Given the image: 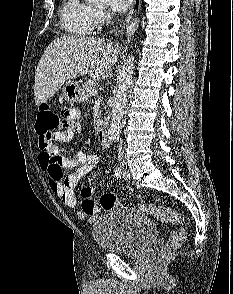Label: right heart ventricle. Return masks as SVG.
Instances as JSON below:
<instances>
[{
  "instance_id": "right-heart-ventricle-1",
  "label": "right heart ventricle",
  "mask_w": 233,
  "mask_h": 294,
  "mask_svg": "<svg viewBox=\"0 0 233 294\" xmlns=\"http://www.w3.org/2000/svg\"><path fill=\"white\" fill-rule=\"evenodd\" d=\"M60 21L67 34L75 37L88 36L97 25L96 10L83 0H63Z\"/></svg>"
}]
</instances>
